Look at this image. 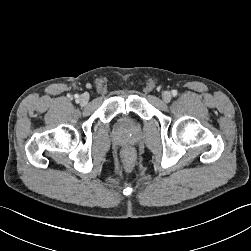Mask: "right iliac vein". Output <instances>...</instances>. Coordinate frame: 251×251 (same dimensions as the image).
I'll use <instances>...</instances> for the list:
<instances>
[{"label":"right iliac vein","instance_id":"right-iliac-vein-1","mask_svg":"<svg viewBox=\"0 0 251 251\" xmlns=\"http://www.w3.org/2000/svg\"><path fill=\"white\" fill-rule=\"evenodd\" d=\"M89 101V95L88 94H82L80 97H79V102L81 105H86Z\"/></svg>","mask_w":251,"mask_h":251}]
</instances>
